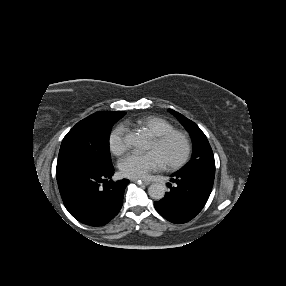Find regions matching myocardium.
Instances as JSON below:
<instances>
[{
    "instance_id": "f54148a6",
    "label": "myocardium",
    "mask_w": 286,
    "mask_h": 286,
    "mask_svg": "<svg viewBox=\"0 0 286 286\" xmlns=\"http://www.w3.org/2000/svg\"><path fill=\"white\" fill-rule=\"evenodd\" d=\"M173 136H181L185 139L186 151L184 155L178 161L164 166L166 170H170V171L177 170L181 168L182 166H184L190 159L192 151H193V143H192L191 137L189 136L188 133L182 130L176 129V130L168 131L161 135L155 136L153 139L155 143L163 144L166 141H168L170 138H172Z\"/></svg>"
}]
</instances>
